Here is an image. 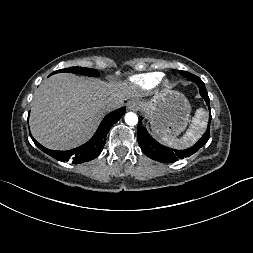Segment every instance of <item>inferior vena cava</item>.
<instances>
[{"mask_svg":"<svg viewBox=\"0 0 253 253\" xmlns=\"http://www.w3.org/2000/svg\"><path fill=\"white\" fill-rule=\"evenodd\" d=\"M116 108V104L115 103H109L108 105H107V109L108 110H112V109H115Z\"/></svg>","mask_w":253,"mask_h":253,"instance_id":"602c4592","label":"inferior vena cava"}]
</instances>
